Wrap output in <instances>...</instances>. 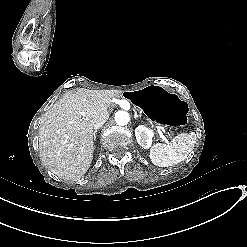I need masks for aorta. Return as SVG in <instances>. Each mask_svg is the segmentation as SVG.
<instances>
[{"label": "aorta", "mask_w": 247, "mask_h": 247, "mask_svg": "<svg viewBox=\"0 0 247 247\" xmlns=\"http://www.w3.org/2000/svg\"><path fill=\"white\" fill-rule=\"evenodd\" d=\"M115 121L118 125H127L130 121V116L125 111H118L115 113Z\"/></svg>", "instance_id": "aorta-1"}]
</instances>
